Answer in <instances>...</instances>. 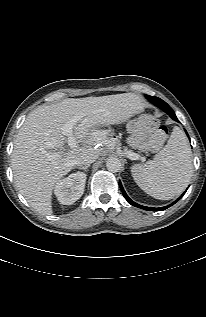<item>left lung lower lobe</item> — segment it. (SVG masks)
I'll use <instances>...</instances> for the list:
<instances>
[{"instance_id": "1", "label": "left lung lower lobe", "mask_w": 206, "mask_h": 317, "mask_svg": "<svg viewBox=\"0 0 206 317\" xmlns=\"http://www.w3.org/2000/svg\"><path fill=\"white\" fill-rule=\"evenodd\" d=\"M147 98H148V97H147ZM148 100L152 102V99H148ZM152 103H154V102H152ZM154 104L157 105V106H158L159 108H161L162 110H164L167 114H169L170 117H171L173 120H175V121L178 122V119H177V117H176V115H175V113H174L173 111H168V109L162 108V107H160V106H159L158 104H156V103H154ZM187 135H188V134H187ZM119 186H120V189H121V191H122V194L124 195V197H125V199L127 200L128 203H130L131 205H133V206H135V207H138V208H141V209H144V210H148V211H162V210H165V209L169 208L170 206H172L173 204H175L177 201H179V200L182 198V196L185 194V192H186V191H185L175 202H173L172 204H170V205H168V206L161 207V208H152V207H146V206H142V205H139V204L135 203L134 201H132V200L128 197V195H127L126 192L124 191L121 182H119Z\"/></svg>"}]
</instances>
